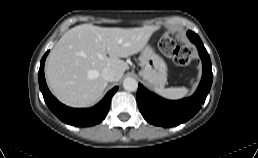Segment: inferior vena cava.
<instances>
[{"mask_svg":"<svg viewBox=\"0 0 258 158\" xmlns=\"http://www.w3.org/2000/svg\"><path fill=\"white\" fill-rule=\"evenodd\" d=\"M101 76L107 82L116 81V72L111 68H104L102 70Z\"/></svg>","mask_w":258,"mask_h":158,"instance_id":"602c4592","label":"inferior vena cava"}]
</instances>
